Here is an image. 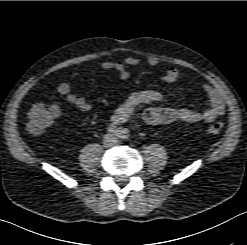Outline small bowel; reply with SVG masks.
<instances>
[{"instance_id":"1","label":"small bowel","mask_w":247,"mask_h":245,"mask_svg":"<svg viewBox=\"0 0 247 245\" xmlns=\"http://www.w3.org/2000/svg\"><path fill=\"white\" fill-rule=\"evenodd\" d=\"M150 67L158 65L156 58L150 57L146 60ZM139 64V59L136 57H128L123 61H102L99 66L105 70H115L122 80H127L130 77L129 68ZM163 80L167 83H176L181 80L180 71L176 67H169L163 75ZM205 96L208 101V108L198 111L190 108H176L170 106L149 107L143 112L144 121L153 126L165 125L173 122L181 121L190 124L200 122H213L224 113V102L218 91L209 84L203 86ZM57 92L64 96L70 104L77 107L82 112H88L91 109V102L85 96L77 95L73 92V87L70 83H61ZM165 96L153 89L142 90L131 93L123 103L114 111L111 120L114 124L126 122L135 112V110L148 103H165ZM59 112L56 106H53Z\"/></svg>"}]
</instances>
